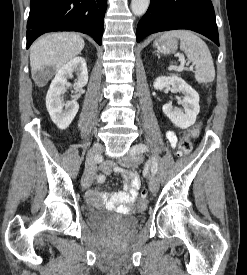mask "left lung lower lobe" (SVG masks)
<instances>
[{"label": "left lung lower lobe", "instance_id": "0a47b994", "mask_svg": "<svg viewBox=\"0 0 247 275\" xmlns=\"http://www.w3.org/2000/svg\"><path fill=\"white\" fill-rule=\"evenodd\" d=\"M174 29L198 32L219 45L211 0H151L137 26V42L149 34Z\"/></svg>", "mask_w": 247, "mask_h": 275}]
</instances>
